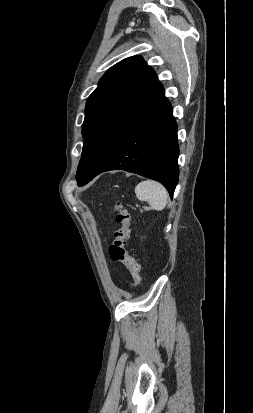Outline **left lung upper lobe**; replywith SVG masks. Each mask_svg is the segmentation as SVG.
Segmentation results:
<instances>
[{"label":"left lung upper lobe","mask_w":253,"mask_h":413,"mask_svg":"<svg viewBox=\"0 0 253 413\" xmlns=\"http://www.w3.org/2000/svg\"><path fill=\"white\" fill-rule=\"evenodd\" d=\"M164 96L154 70L140 56L111 67L87 100L78 184L93 175Z\"/></svg>","instance_id":"5c2ea615"}]
</instances>
